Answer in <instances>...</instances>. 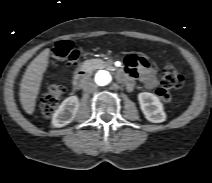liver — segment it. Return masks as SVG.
I'll return each mask as SVG.
<instances>
[{
  "mask_svg": "<svg viewBox=\"0 0 212 183\" xmlns=\"http://www.w3.org/2000/svg\"><path fill=\"white\" fill-rule=\"evenodd\" d=\"M49 49L42 51L27 67L20 84V101L28 114L35 110L43 74L48 67Z\"/></svg>",
  "mask_w": 212,
  "mask_h": 183,
  "instance_id": "liver-1",
  "label": "liver"
}]
</instances>
